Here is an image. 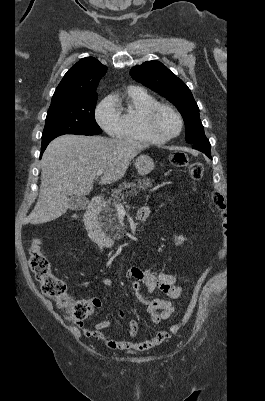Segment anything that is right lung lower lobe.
<instances>
[{"mask_svg": "<svg viewBox=\"0 0 265 401\" xmlns=\"http://www.w3.org/2000/svg\"><path fill=\"white\" fill-rule=\"evenodd\" d=\"M49 143H50V142L42 143L40 156H42L44 150L46 149V147H47V145H48Z\"/></svg>", "mask_w": 265, "mask_h": 401, "instance_id": "right-lung-lower-lobe-1", "label": "right lung lower lobe"}]
</instances>
